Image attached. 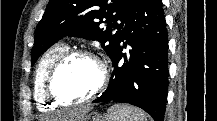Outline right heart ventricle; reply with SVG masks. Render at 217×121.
Here are the masks:
<instances>
[{
    "instance_id": "1",
    "label": "right heart ventricle",
    "mask_w": 217,
    "mask_h": 121,
    "mask_svg": "<svg viewBox=\"0 0 217 121\" xmlns=\"http://www.w3.org/2000/svg\"><path fill=\"white\" fill-rule=\"evenodd\" d=\"M68 50L69 47L66 44H57L41 57L37 65L34 77V98L39 109H55L45 92L46 78L54 63Z\"/></svg>"
}]
</instances>
